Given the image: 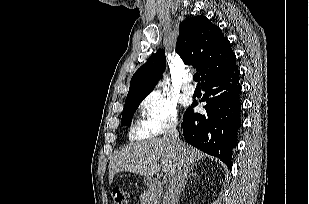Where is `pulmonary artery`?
<instances>
[{"label":"pulmonary artery","mask_w":309,"mask_h":204,"mask_svg":"<svg viewBox=\"0 0 309 204\" xmlns=\"http://www.w3.org/2000/svg\"><path fill=\"white\" fill-rule=\"evenodd\" d=\"M182 91L187 95H192L195 92V88L191 84V79L189 77L185 78Z\"/></svg>","instance_id":"obj_1"}]
</instances>
